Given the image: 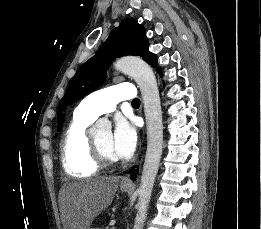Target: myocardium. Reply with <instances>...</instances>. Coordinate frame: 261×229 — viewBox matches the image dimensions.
<instances>
[{
	"mask_svg": "<svg viewBox=\"0 0 261 229\" xmlns=\"http://www.w3.org/2000/svg\"><path fill=\"white\" fill-rule=\"evenodd\" d=\"M93 144H94L96 157L102 166H110L117 162L116 158H112V157L108 156L103 151V149L101 148V146L98 144L97 141H94Z\"/></svg>",
	"mask_w": 261,
	"mask_h": 229,
	"instance_id": "obj_1",
	"label": "myocardium"
}]
</instances>
